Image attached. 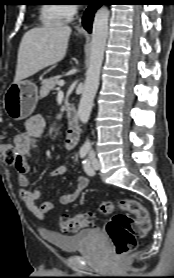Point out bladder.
<instances>
[{
	"label": "bladder",
	"instance_id": "1",
	"mask_svg": "<svg viewBox=\"0 0 174 278\" xmlns=\"http://www.w3.org/2000/svg\"><path fill=\"white\" fill-rule=\"evenodd\" d=\"M100 237L98 228H86L72 235L49 233L47 240L63 252H75L97 241Z\"/></svg>",
	"mask_w": 174,
	"mask_h": 278
}]
</instances>
